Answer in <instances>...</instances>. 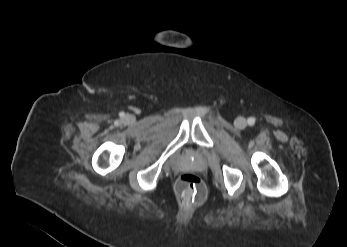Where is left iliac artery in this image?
Returning a JSON list of instances; mask_svg holds the SVG:
<instances>
[{"instance_id":"44dca946","label":"left iliac artery","mask_w":347,"mask_h":247,"mask_svg":"<svg viewBox=\"0 0 347 247\" xmlns=\"http://www.w3.org/2000/svg\"><path fill=\"white\" fill-rule=\"evenodd\" d=\"M248 124H249L250 126L254 125V124H255V118L250 117V118L248 119Z\"/></svg>"}]
</instances>
